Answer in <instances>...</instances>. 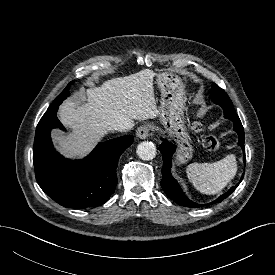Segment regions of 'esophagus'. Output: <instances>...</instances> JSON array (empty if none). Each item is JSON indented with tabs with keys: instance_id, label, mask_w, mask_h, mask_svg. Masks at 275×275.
<instances>
[{
	"instance_id": "1",
	"label": "esophagus",
	"mask_w": 275,
	"mask_h": 275,
	"mask_svg": "<svg viewBox=\"0 0 275 275\" xmlns=\"http://www.w3.org/2000/svg\"><path fill=\"white\" fill-rule=\"evenodd\" d=\"M150 127L149 125H142L138 127L136 136L140 139H146L149 136Z\"/></svg>"
}]
</instances>
